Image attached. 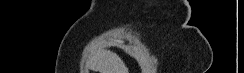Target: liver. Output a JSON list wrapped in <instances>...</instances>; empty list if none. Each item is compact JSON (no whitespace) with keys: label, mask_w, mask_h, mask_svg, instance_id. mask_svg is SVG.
Returning <instances> with one entry per match:
<instances>
[{"label":"liver","mask_w":244,"mask_h":73,"mask_svg":"<svg viewBox=\"0 0 244 73\" xmlns=\"http://www.w3.org/2000/svg\"><path fill=\"white\" fill-rule=\"evenodd\" d=\"M93 68L99 73H128L120 57L109 50L99 52L93 60Z\"/></svg>","instance_id":"6515ba94"}]
</instances>
